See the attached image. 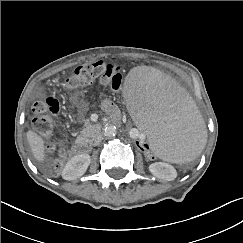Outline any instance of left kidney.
Wrapping results in <instances>:
<instances>
[{"label":"left kidney","instance_id":"5707ae66","mask_svg":"<svg viewBox=\"0 0 243 243\" xmlns=\"http://www.w3.org/2000/svg\"><path fill=\"white\" fill-rule=\"evenodd\" d=\"M149 171L155 177L166 180V181H173L177 177L176 169L166 163V162H159L158 164H150Z\"/></svg>","mask_w":243,"mask_h":243}]
</instances>
